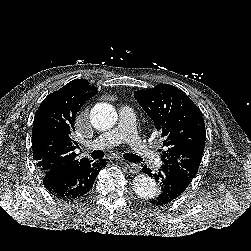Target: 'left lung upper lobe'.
<instances>
[{
	"label": "left lung upper lobe",
	"mask_w": 251,
	"mask_h": 251,
	"mask_svg": "<svg viewBox=\"0 0 251 251\" xmlns=\"http://www.w3.org/2000/svg\"><path fill=\"white\" fill-rule=\"evenodd\" d=\"M134 97L164 137L161 160L170 168L193 179L205 147L206 131L200 109L171 85L140 90ZM162 150L160 149L159 152Z\"/></svg>",
	"instance_id": "1"
}]
</instances>
